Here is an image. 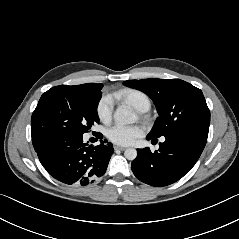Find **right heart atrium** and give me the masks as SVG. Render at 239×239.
<instances>
[{"mask_svg":"<svg viewBox=\"0 0 239 239\" xmlns=\"http://www.w3.org/2000/svg\"><path fill=\"white\" fill-rule=\"evenodd\" d=\"M113 103L109 96H104L100 99L97 105V116L100 121L108 123L112 117Z\"/></svg>","mask_w":239,"mask_h":239,"instance_id":"right-heart-atrium-1","label":"right heart atrium"}]
</instances>
